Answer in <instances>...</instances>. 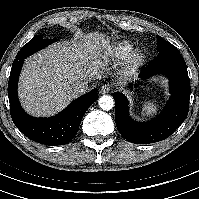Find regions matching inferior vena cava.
Masks as SVG:
<instances>
[{"instance_id": "inferior-vena-cava-1", "label": "inferior vena cava", "mask_w": 199, "mask_h": 199, "mask_svg": "<svg viewBox=\"0 0 199 199\" xmlns=\"http://www.w3.org/2000/svg\"><path fill=\"white\" fill-rule=\"evenodd\" d=\"M89 82L90 81H88V80L77 82L74 85V93L78 95V94H82V93L86 92L88 89Z\"/></svg>"}]
</instances>
